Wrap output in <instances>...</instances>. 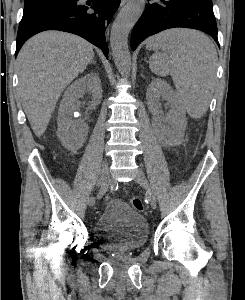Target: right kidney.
I'll return each mask as SVG.
<instances>
[{
  "label": "right kidney",
  "instance_id": "right-kidney-1",
  "mask_svg": "<svg viewBox=\"0 0 245 300\" xmlns=\"http://www.w3.org/2000/svg\"><path fill=\"white\" fill-rule=\"evenodd\" d=\"M86 92L92 96V106L100 103L102 86L97 74H87L72 83L65 91L59 107L57 135L66 148L74 151L83 145L88 133L86 123L74 119V113L80 107L79 98Z\"/></svg>",
  "mask_w": 245,
  "mask_h": 300
}]
</instances>
